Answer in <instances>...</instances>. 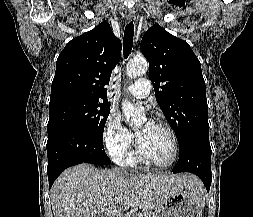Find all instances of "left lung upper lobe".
Here are the masks:
<instances>
[{
  "mask_svg": "<svg viewBox=\"0 0 253 217\" xmlns=\"http://www.w3.org/2000/svg\"><path fill=\"white\" fill-rule=\"evenodd\" d=\"M140 49L149 61L157 102L178 143L192 132L209 134L205 81L191 47L155 24L144 34Z\"/></svg>",
  "mask_w": 253,
  "mask_h": 217,
  "instance_id": "left-lung-upper-lobe-1",
  "label": "left lung upper lobe"
}]
</instances>
